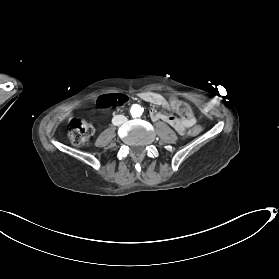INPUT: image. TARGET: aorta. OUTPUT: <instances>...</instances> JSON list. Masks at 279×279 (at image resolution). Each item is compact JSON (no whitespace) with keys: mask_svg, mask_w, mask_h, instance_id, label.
<instances>
[{"mask_svg":"<svg viewBox=\"0 0 279 279\" xmlns=\"http://www.w3.org/2000/svg\"><path fill=\"white\" fill-rule=\"evenodd\" d=\"M131 115L133 118L140 117L142 115L143 109L140 105L135 104L131 107Z\"/></svg>","mask_w":279,"mask_h":279,"instance_id":"aorta-1","label":"aorta"}]
</instances>
